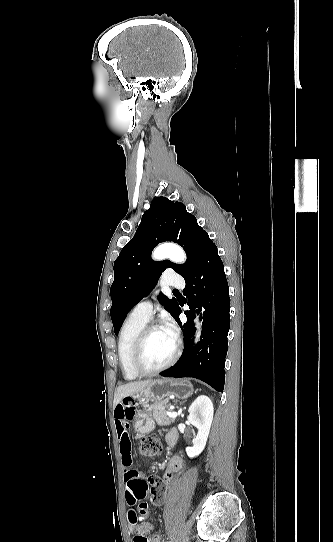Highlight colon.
<instances>
[{
    "instance_id": "1",
    "label": "colon",
    "mask_w": 333,
    "mask_h": 542,
    "mask_svg": "<svg viewBox=\"0 0 333 542\" xmlns=\"http://www.w3.org/2000/svg\"><path fill=\"white\" fill-rule=\"evenodd\" d=\"M161 451V443L158 439L153 437H146L139 443V452L144 458H151L157 455ZM134 460H127L126 466L123 468L125 478L130 481L127 488L124 491V498L127 503L125 512L127 514L125 521L127 524H139L143 516H147L149 508L147 505H140L142 499L146 498L149 491V483L159 484V478L152 476L149 479V483L140 479V472L135 467ZM134 480V481H131ZM145 541V540H143Z\"/></svg>"
}]
</instances>
